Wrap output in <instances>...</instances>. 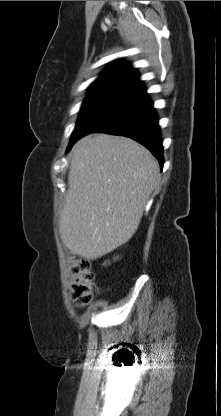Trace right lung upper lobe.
Returning a JSON list of instances; mask_svg holds the SVG:
<instances>
[{
	"instance_id": "1",
	"label": "right lung upper lobe",
	"mask_w": 221,
	"mask_h": 416,
	"mask_svg": "<svg viewBox=\"0 0 221 416\" xmlns=\"http://www.w3.org/2000/svg\"><path fill=\"white\" fill-rule=\"evenodd\" d=\"M145 90L136 69L116 61L90 86L88 96L119 95L127 98Z\"/></svg>"
}]
</instances>
